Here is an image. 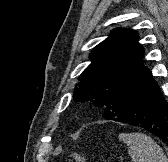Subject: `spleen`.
Wrapping results in <instances>:
<instances>
[{
	"mask_svg": "<svg viewBox=\"0 0 168 162\" xmlns=\"http://www.w3.org/2000/svg\"><path fill=\"white\" fill-rule=\"evenodd\" d=\"M119 139L128 146L133 162H168L162 148L143 133H120Z\"/></svg>",
	"mask_w": 168,
	"mask_h": 162,
	"instance_id": "spleen-1",
	"label": "spleen"
}]
</instances>
